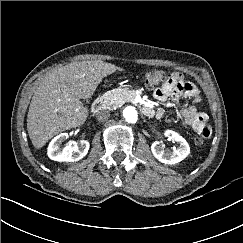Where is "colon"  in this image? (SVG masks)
<instances>
[{"label":"colon","instance_id":"1","mask_svg":"<svg viewBox=\"0 0 243 243\" xmlns=\"http://www.w3.org/2000/svg\"><path fill=\"white\" fill-rule=\"evenodd\" d=\"M165 78L166 73L163 70L151 69L145 74L144 81L145 85L151 89L163 82ZM205 139L206 138L202 135H198L197 137H195L194 141L196 145L201 146L205 143Z\"/></svg>","mask_w":243,"mask_h":243}]
</instances>
